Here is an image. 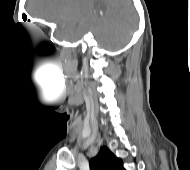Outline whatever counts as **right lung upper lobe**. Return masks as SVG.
I'll list each match as a JSON object with an SVG mask.
<instances>
[{
    "label": "right lung upper lobe",
    "mask_w": 190,
    "mask_h": 170,
    "mask_svg": "<svg viewBox=\"0 0 190 170\" xmlns=\"http://www.w3.org/2000/svg\"><path fill=\"white\" fill-rule=\"evenodd\" d=\"M90 170H125L123 162L107 147H101L98 155L89 162Z\"/></svg>",
    "instance_id": "right-lung-upper-lobe-1"
}]
</instances>
